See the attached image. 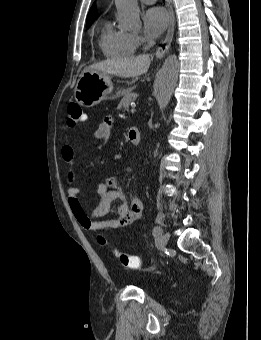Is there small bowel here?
<instances>
[{
    "label": "small bowel",
    "mask_w": 261,
    "mask_h": 340,
    "mask_svg": "<svg viewBox=\"0 0 261 340\" xmlns=\"http://www.w3.org/2000/svg\"><path fill=\"white\" fill-rule=\"evenodd\" d=\"M112 119L105 118L94 130V137L107 141L112 132ZM61 155L65 162L72 163L74 160V150L70 145H64ZM126 173L108 178L105 182L97 184L94 195L100 198L98 204L92 212L88 214L79 199L80 189L72 185L68 189V203L76 220L82 228L93 232H107L124 228L140 218L143 210L141 199L137 195L131 196L128 201L119 188V182ZM69 179L73 181L74 174L69 172ZM120 204L113 210L116 218L109 220H98L112 211L114 201Z\"/></svg>",
    "instance_id": "obj_1"
}]
</instances>
